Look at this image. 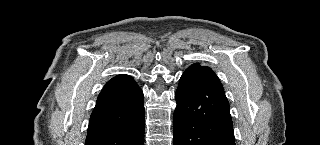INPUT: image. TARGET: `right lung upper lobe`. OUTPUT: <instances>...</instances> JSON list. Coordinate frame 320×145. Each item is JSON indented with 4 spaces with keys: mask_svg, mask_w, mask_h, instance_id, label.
<instances>
[{
    "mask_svg": "<svg viewBox=\"0 0 320 145\" xmlns=\"http://www.w3.org/2000/svg\"><path fill=\"white\" fill-rule=\"evenodd\" d=\"M120 76H124V74L123 75H118V76H116V77H120ZM116 77H114V78H116ZM113 79V78H112Z\"/></svg>",
    "mask_w": 320,
    "mask_h": 145,
    "instance_id": "right-lung-upper-lobe-1",
    "label": "right lung upper lobe"
}]
</instances>
